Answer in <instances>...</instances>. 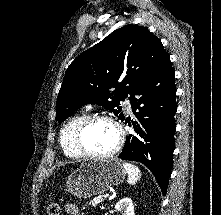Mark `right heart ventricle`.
<instances>
[{
    "mask_svg": "<svg viewBox=\"0 0 221 215\" xmlns=\"http://www.w3.org/2000/svg\"><path fill=\"white\" fill-rule=\"evenodd\" d=\"M90 116L88 111H83L70 118L61 130L60 143L63 152L71 158H78L82 153L78 150L75 136L80 125Z\"/></svg>",
    "mask_w": 221,
    "mask_h": 215,
    "instance_id": "obj_1",
    "label": "right heart ventricle"
}]
</instances>
